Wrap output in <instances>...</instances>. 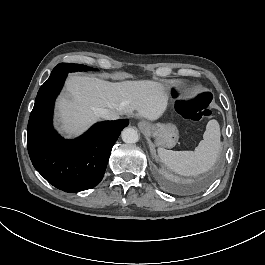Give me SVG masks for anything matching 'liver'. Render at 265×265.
<instances>
[{
	"instance_id": "1",
	"label": "liver",
	"mask_w": 265,
	"mask_h": 265,
	"mask_svg": "<svg viewBox=\"0 0 265 265\" xmlns=\"http://www.w3.org/2000/svg\"><path fill=\"white\" fill-rule=\"evenodd\" d=\"M67 90L73 101L59 102L60 119L65 129L81 131L99 118V110L108 108L118 114L135 115L149 121L165 112L166 100L156 83H106L93 77L71 76Z\"/></svg>"
}]
</instances>
